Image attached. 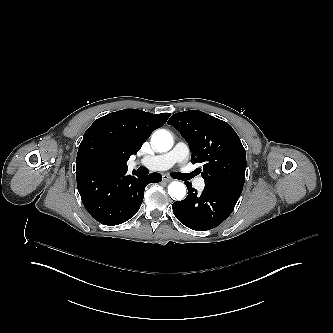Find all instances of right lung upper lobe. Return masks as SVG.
Wrapping results in <instances>:
<instances>
[{"instance_id": "right-lung-upper-lobe-1", "label": "right lung upper lobe", "mask_w": 333, "mask_h": 333, "mask_svg": "<svg viewBox=\"0 0 333 333\" xmlns=\"http://www.w3.org/2000/svg\"><path fill=\"white\" fill-rule=\"evenodd\" d=\"M169 116L170 113L153 114L124 109L95 120L79 145L77 171L128 169L130 156L137 153L151 133L163 126Z\"/></svg>"}]
</instances>
